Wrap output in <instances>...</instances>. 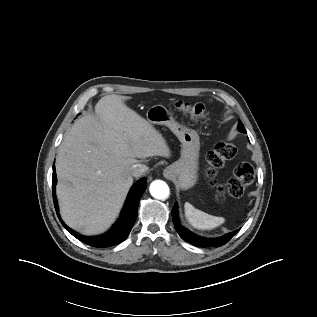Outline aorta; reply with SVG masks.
Instances as JSON below:
<instances>
[{
    "instance_id": "aorta-1",
    "label": "aorta",
    "mask_w": 317,
    "mask_h": 317,
    "mask_svg": "<svg viewBox=\"0 0 317 317\" xmlns=\"http://www.w3.org/2000/svg\"><path fill=\"white\" fill-rule=\"evenodd\" d=\"M150 194L158 200H165L169 197V186L162 180H154L149 187Z\"/></svg>"
}]
</instances>
